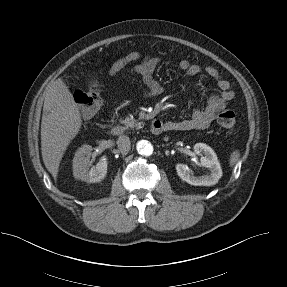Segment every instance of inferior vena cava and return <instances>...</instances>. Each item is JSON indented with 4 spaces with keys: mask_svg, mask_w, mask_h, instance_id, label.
Here are the masks:
<instances>
[{
    "mask_svg": "<svg viewBox=\"0 0 287 287\" xmlns=\"http://www.w3.org/2000/svg\"><path fill=\"white\" fill-rule=\"evenodd\" d=\"M117 145L121 152H128L131 148V142L129 137L126 135L119 136L117 140Z\"/></svg>",
    "mask_w": 287,
    "mask_h": 287,
    "instance_id": "602c4592",
    "label": "inferior vena cava"
}]
</instances>
